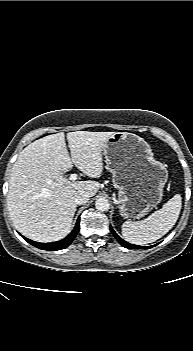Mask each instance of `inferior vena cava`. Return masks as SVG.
Wrapping results in <instances>:
<instances>
[{
  "instance_id": "1",
  "label": "inferior vena cava",
  "mask_w": 193,
  "mask_h": 351,
  "mask_svg": "<svg viewBox=\"0 0 193 351\" xmlns=\"http://www.w3.org/2000/svg\"><path fill=\"white\" fill-rule=\"evenodd\" d=\"M89 198L90 196L87 192H80L75 198V203L77 205H83L88 202Z\"/></svg>"
}]
</instances>
